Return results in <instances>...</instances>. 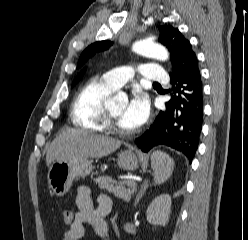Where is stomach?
<instances>
[{
	"label": "stomach",
	"instance_id": "stomach-1",
	"mask_svg": "<svg viewBox=\"0 0 248 240\" xmlns=\"http://www.w3.org/2000/svg\"><path fill=\"white\" fill-rule=\"evenodd\" d=\"M148 157L126 150L118 155L119 167L133 171L140 165H146ZM92 161L88 158H75L54 162L48 170V185L54 194L64 196L71 188L76 178H84L92 172Z\"/></svg>",
	"mask_w": 248,
	"mask_h": 240
}]
</instances>
